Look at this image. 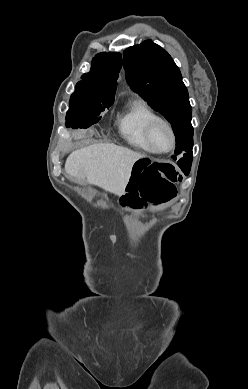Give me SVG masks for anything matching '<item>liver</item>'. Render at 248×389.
I'll list each match as a JSON object with an SVG mask.
<instances>
[{
  "label": "liver",
  "mask_w": 248,
  "mask_h": 389,
  "mask_svg": "<svg viewBox=\"0 0 248 389\" xmlns=\"http://www.w3.org/2000/svg\"><path fill=\"white\" fill-rule=\"evenodd\" d=\"M144 155L110 143L87 146L72 152L65 163L66 173L78 183L89 184L115 195L125 193L132 167Z\"/></svg>",
  "instance_id": "obj_1"
}]
</instances>
